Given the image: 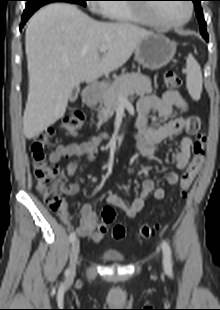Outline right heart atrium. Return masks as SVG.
Here are the masks:
<instances>
[{
	"mask_svg": "<svg viewBox=\"0 0 220 310\" xmlns=\"http://www.w3.org/2000/svg\"><path fill=\"white\" fill-rule=\"evenodd\" d=\"M94 8L102 13V8H103V6H101V5H96V6H94Z\"/></svg>",
	"mask_w": 220,
	"mask_h": 310,
	"instance_id": "right-heart-atrium-1",
	"label": "right heart atrium"
}]
</instances>
